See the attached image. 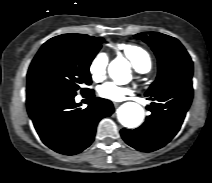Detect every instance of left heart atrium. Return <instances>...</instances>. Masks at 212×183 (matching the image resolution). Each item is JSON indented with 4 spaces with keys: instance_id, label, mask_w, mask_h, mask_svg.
<instances>
[{
    "instance_id": "1",
    "label": "left heart atrium",
    "mask_w": 212,
    "mask_h": 183,
    "mask_svg": "<svg viewBox=\"0 0 212 183\" xmlns=\"http://www.w3.org/2000/svg\"><path fill=\"white\" fill-rule=\"evenodd\" d=\"M131 93L132 90L129 87L119 86L112 82H106L98 87L100 97L113 101L123 100L125 96Z\"/></svg>"
}]
</instances>
